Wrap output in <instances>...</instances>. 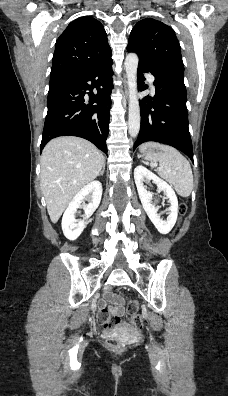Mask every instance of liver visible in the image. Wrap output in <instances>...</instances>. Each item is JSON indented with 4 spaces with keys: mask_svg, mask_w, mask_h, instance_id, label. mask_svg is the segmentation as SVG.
I'll return each instance as SVG.
<instances>
[{
    "mask_svg": "<svg viewBox=\"0 0 228 396\" xmlns=\"http://www.w3.org/2000/svg\"><path fill=\"white\" fill-rule=\"evenodd\" d=\"M40 164L41 191L56 223L74 196L99 175L105 158L88 140L65 136L45 146Z\"/></svg>",
    "mask_w": 228,
    "mask_h": 396,
    "instance_id": "6515ba94",
    "label": "liver"
}]
</instances>
